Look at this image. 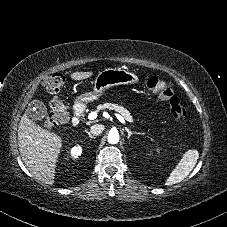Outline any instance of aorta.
<instances>
[{"mask_svg": "<svg viewBox=\"0 0 227 227\" xmlns=\"http://www.w3.org/2000/svg\"><path fill=\"white\" fill-rule=\"evenodd\" d=\"M108 142L110 144H117L119 142V134L116 131H111L108 134Z\"/></svg>", "mask_w": 227, "mask_h": 227, "instance_id": "aorta-1", "label": "aorta"}]
</instances>
